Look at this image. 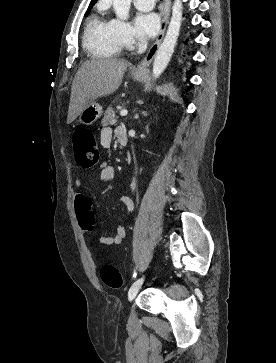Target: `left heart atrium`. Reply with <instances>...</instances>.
<instances>
[{
    "mask_svg": "<svg viewBox=\"0 0 276 363\" xmlns=\"http://www.w3.org/2000/svg\"><path fill=\"white\" fill-rule=\"evenodd\" d=\"M135 25L142 38H152L160 30V17L154 12H139L135 19Z\"/></svg>",
    "mask_w": 276,
    "mask_h": 363,
    "instance_id": "1",
    "label": "left heart atrium"
}]
</instances>
